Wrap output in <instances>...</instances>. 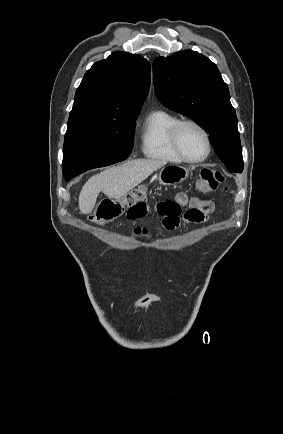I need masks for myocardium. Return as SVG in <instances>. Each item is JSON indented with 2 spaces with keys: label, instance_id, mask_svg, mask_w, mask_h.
<instances>
[{
  "label": "myocardium",
  "instance_id": "myocardium-1",
  "mask_svg": "<svg viewBox=\"0 0 283 434\" xmlns=\"http://www.w3.org/2000/svg\"><path fill=\"white\" fill-rule=\"evenodd\" d=\"M186 125H192L194 127H196L204 136L205 142H206V153L197 159H192L187 157L181 146H180V141H179V135H180V131L181 129L186 126ZM171 143H172V147L175 151V153L182 159V161L187 162V163H201L203 161H205L209 155L211 154L212 151V143H211V139H210V135L208 133V131L206 130V128L200 124L199 122L193 120V119H183V120H179L174 127L172 128L171 131Z\"/></svg>",
  "mask_w": 283,
  "mask_h": 434
}]
</instances>
